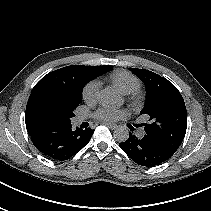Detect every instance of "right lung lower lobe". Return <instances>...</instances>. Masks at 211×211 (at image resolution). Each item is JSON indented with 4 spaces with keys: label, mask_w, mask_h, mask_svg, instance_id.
<instances>
[{
    "label": "right lung lower lobe",
    "mask_w": 211,
    "mask_h": 211,
    "mask_svg": "<svg viewBox=\"0 0 211 211\" xmlns=\"http://www.w3.org/2000/svg\"><path fill=\"white\" fill-rule=\"evenodd\" d=\"M94 130L77 128L71 124L41 129L31 135L34 146L47 158L64 161L77 154L91 139Z\"/></svg>",
    "instance_id": "obj_1"
}]
</instances>
